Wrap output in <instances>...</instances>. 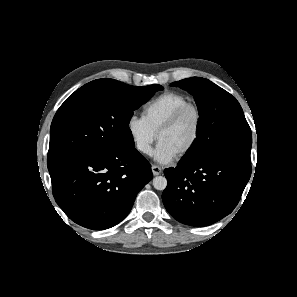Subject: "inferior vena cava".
<instances>
[{
  "label": "inferior vena cava",
  "instance_id": "inferior-vena-cava-1",
  "mask_svg": "<svg viewBox=\"0 0 297 297\" xmlns=\"http://www.w3.org/2000/svg\"><path fill=\"white\" fill-rule=\"evenodd\" d=\"M137 147L139 150L147 153L149 151L150 146L147 143H139Z\"/></svg>",
  "mask_w": 297,
  "mask_h": 297
}]
</instances>
